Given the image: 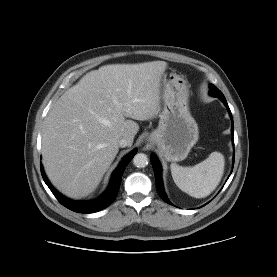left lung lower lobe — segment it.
Here are the masks:
<instances>
[{"instance_id":"left-lung-lower-lobe-1","label":"left lung lower lobe","mask_w":277,"mask_h":277,"mask_svg":"<svg viewBox=\"0 0 277 277\" xmlns=\"http://www.w3.org/2000/svg\"><path fill=\"white\" fill-rule=\"evenodd\" d=\"M224 103V105L228 108L229 110V114H230V117L232 119V127H231V132L233 133L234 132V124H233V117H232V114H231V111L229 109V106L227 104V101L224 100L222 101ZM234 161V159H233ZM151 163H152V166H153V169H154V173H155V180H156V189H157V192L158 194L160 195V197L167 203L170 204V201L168 200V197L164 191V188H163V182H162V172H161V166H160V163H159V160L157 159V157L155 155H152L151 156Z\"/></svg>"}]
</instances>
